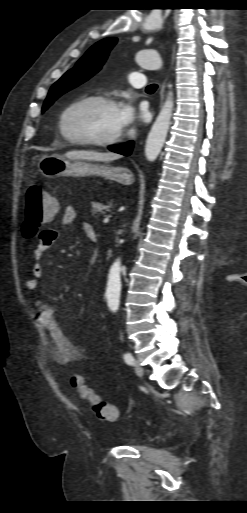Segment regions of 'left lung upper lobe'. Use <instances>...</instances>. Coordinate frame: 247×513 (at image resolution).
<instances>
[{
    "label": "left lung upper lobe",
    "mask_w": 247,
    "mask_h": 513,
    "mask_svg": "<svg viewBox=\"0 0 247 513\" xmlns=\"http://www.w3.org/2000/svg\"><path fill=\"white\" fill-rule=\"evenodd\" d=\"M116 42L117 38L109 37L95 43L71 70L53 84L44 102L42 112L47 110L61 95L82 84L97 73Z\"/></svg>",
    "instance_id": "5c2ea615"
}]
</instances>
